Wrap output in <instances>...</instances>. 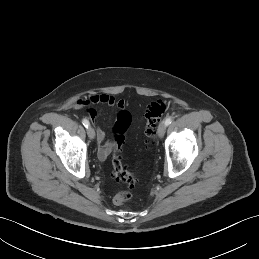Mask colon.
<instances>
[{
	"mask_svg": "<svg viewBox=\"0 0 259 259\" xmlns=\"http://www.w3.org/2000/svg\"><path fill=\"white\" fill-rule=\"evenodd\" d=\"M167 109L166 103L163 101H153L149 104L145 113V136L148 140L155 137L156 126L164 116ZM131 114L126 110H121L116 116L112 129L114 139V155L112 157L113 174L117 181L134 187L137 178L129 172L123 165L120 158V151L125 140V134L131 124ZM131 198V193L127 190L117 189L113 196L115 204H122Z\"/></svg>",
	"mask_w": 259,
	"mask_h": 259,
	"instance_id": "obj_1",
	"label": "colon"
}]
</instances>
